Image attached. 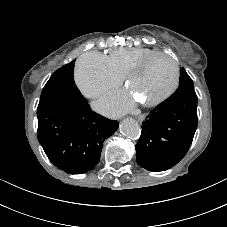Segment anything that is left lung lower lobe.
<instances>
[{
    "mask_svg": "<svg viewBox=\"0 0 227 227\" xmlns=\"http://www.w3.org/2000/svg\"><path fill=\"white\" fill-rule=\"evenodd\" d=\"M195 94L171 96L142 123L136 144L137 163L149 171H165L187 153L197 128Z\"/></svg>",
    "mask_w": 227,
    "mask_h": 227,
    "instance_id": "left-lung-lower-lobe-1",
    "label": "left lung lower lobe"
}]
</instances>
